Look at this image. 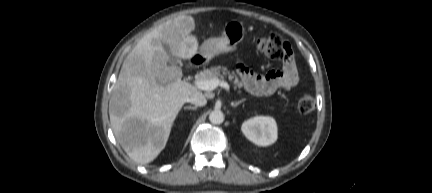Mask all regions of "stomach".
Returning a JSON list of instances; mask_svg holds the SVG:
<instances>
[{
  "mask_svg": "<svg viewBox=\"0 0 432 193\" xmlns=\"http://www.w3.org/2000/svg\"><path fill=\"white\" fill-rule=\"evenodd\" d=\"M244 35L245 28L242 22L232 20L226 23L222 37H212L202 43L199 55L206 60H210L219 53L234 51L243 40Z\"/></svg>",
  "mask_w": 432,
  "mask_h": 193,
  "instance_id": "0dacf381",
  "label": "stomach"
}]
</instances>
